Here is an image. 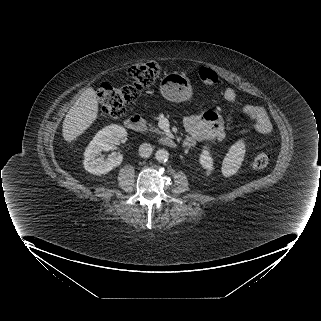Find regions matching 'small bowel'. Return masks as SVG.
Segmentation results:
<instances>
[{"label":"small bowel","instance_id":"c3829d8e","mask_svg":"<svg viewBox=\"0 0 321 321\" xmlns=\"http://www.w3.org/2000/svg\"><path fill=\"white\" fill-rule=\"evenodd\" d=\"M224 98L229 102H237L240 95L233 88H226ZM242 113L250 119L257 132L269 133L272 129L271 120L266 110L253 104H245ZM187 136L184 144L188 148H195L197 143H216L225 139L224 124L221 116L216 111H206L200 115H190L183 119Z\"/></svg>","mask_w":321,"mask_h":321}]
</instances>
